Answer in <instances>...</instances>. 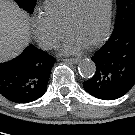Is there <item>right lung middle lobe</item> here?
Here are the masks:
<instances>
[{
    "instance_id": "right-lung-middle-lobe-1",
    "label": "right lung middle lobe",
    "mask_w": 135,
    "mask_h": 135,
    "mask_svg": "<svg viewBox=\"0 0 135 135\" xmlns=\"http://www.w3.org/2000/svg\"><path fill=\"white\" fill-rule=\"evenodd\" d=\"M20 7L32 13L34 10L36 0H15Z\"/></svg>"
}]
</instances>
